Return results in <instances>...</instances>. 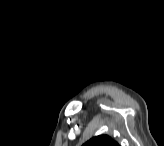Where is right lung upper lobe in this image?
Instances as JSON below:
<instances>
[{"label":"right lung upper lobe","mask_w":164,"mask_h":146,"mask_svg":"<svg viewBox=\"0 0 164 146\" xmlns=\"http://www.w3.org/2000/svg\"><path fill=\"white\" fill-rule=\"evenodd\" d=\"M84 146H118V143L107 135H100L90 139Z\"/></svg>","instance_id":"1"}]
</instances>
